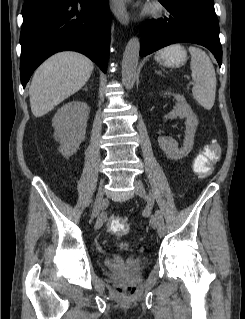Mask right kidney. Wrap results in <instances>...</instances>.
<instances>
[{"mask_svg":"<svg viewBox=\"0 0 245 319\" xmlns=\"http://www.w3.org/2000/svg\"><path fill=\"white\" fill-rule=\"evenodd\" d=\"M89 107L82 101L63 105L52 119L54 137L60 143L59 151L66 158L76 153L85 139Z\"/></svg>","mask_w":245,"mask_h":319,"instance_id":"obj_1","label":"right kidney"}]
</instances>
